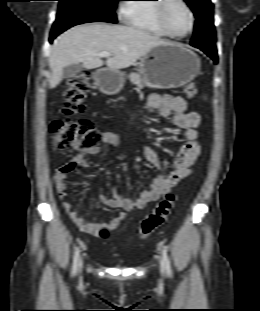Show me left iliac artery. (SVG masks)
Masks as SVG:
<instances>
[{"label": "left iliac artery", "instance_id": "obj_1", "mask_svg": "<svg viewBox=\"0 0 260 311\" xmlns=\"http://www.w3.org/2000/svg\"><path fill=\"white\" fill-rule=\"evenodd\" d=\"M162 257L165 263L166 273L169 277H171L172 276L171 263L165 248H162Z\"/></svg>", "mask_w": 260, "mask_h": 311}]
</instances>
